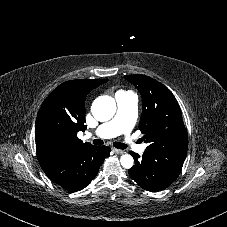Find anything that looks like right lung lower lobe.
<instances>
[{
	"mask_svg": "<svg viewBox=\"0 0 227 227\" xmlns=\"http://www.w3.org/2000/svg\"><path fill=\"white\" fill-rule=\"evenodd\" d=\"M106 146H86L43 168L50 180L70 192L85 188L96 177L104 159L109 155Z\"/></svg>",
	"mask_w": 227,
	"mask_h": 227,
	"instance_id": "obj_1",
	"label": "right lung lower lobe"
}]
</instances>
